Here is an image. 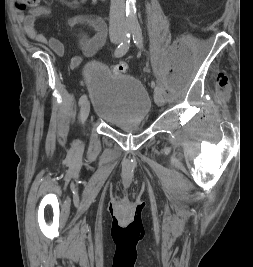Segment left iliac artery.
Instances as JSON below:
<instances>
[{
  "instance_id": "left-iliac-artery-1",
  "label": "left iliac artery",
  "mask_w": 253,
  "mask_h": 267,
  "mask_svg": "<svg viewBox=\"0 0 253 267\" xmlns=\"http://www.w3.org/2000/svg\"><path fill=\"white\" fill-rule=\"evenodd\" d=\"M133 41L138 48L140 49L143 48V35L140 27H135L133 29ZM152 87L154 88L155 92H161V93L163 92L161 87L157 86L155 82L152 83Z\"/></svg>"
}]
</instances>
